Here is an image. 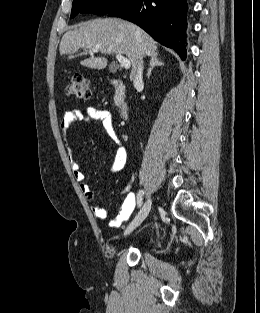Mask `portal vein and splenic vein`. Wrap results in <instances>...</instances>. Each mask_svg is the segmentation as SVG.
I'll list each match as a JSON object with an SVG mask.
<instances>
[{
  "label": "portal vein and splenic vein",
  "mask_w": 260,
  "mask_h": 313,
  "mask_svg": "<svg viewBox=\"0 0 260 313\" xmlns=\"http://www.w3.org/2000/svg\"><path fill=\"white\" fill-rule=\"evenodd\" d=\"M98 49L97 48H92L90 49V53L93 52H97ZM116 59L119 61V63L121 64L122 67H124L125 69H129L131 67V62L129 59L125 58L123 55L121 54H116Z\"/></svg>",
  "instance_id": "obj_1"
}]
</instances>
